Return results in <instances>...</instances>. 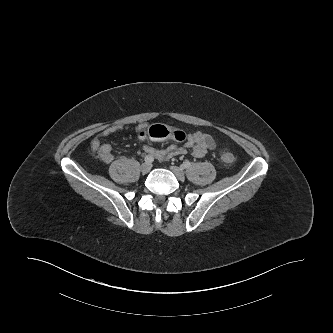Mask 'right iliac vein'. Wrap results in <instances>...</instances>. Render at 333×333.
I'll use <instances>...</instances> for the list:
<instances>
[{
  "label": "right iliac vein",
  "instance_id": "63e3f726",
  "mask_svg": "<svg viewBox=\"0 0 333 333\" xmlns=\"http://www.w3.org/2000/svg\"><path fill=\"white\" fill-rule=\"evenodd\" d=\"M141 172L143 174H147L151 170V164L150 163H143L140 167Z\"/></svg>",
  "mask_w": 333,
  "mask_h": 333
}]
</instances>
